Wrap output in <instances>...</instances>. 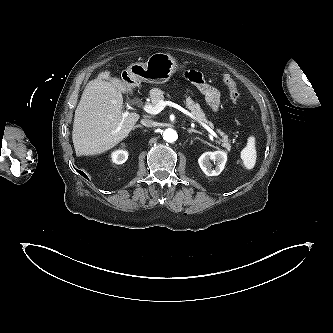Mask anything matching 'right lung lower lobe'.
<instances>
[{
  "mask_svg": "<svg viewBox=\"0 0 333 333\" xmlns=\"http://www.w3.org/2000/svg\"><path fill=\"white\" fill-rule=\"evenodd\" d=\"M77 172H78L79 174H81L82 176H84L85 178H87V176H86V174H85L84 172L79 171V170H77Z\"/></svg>",
  "mask_w": 333,
  "mask_h": 333,
  "instance_id": "right-lung-lower-lobe-1",
  "label": "right lung lower lobe"
}]
</instances>
